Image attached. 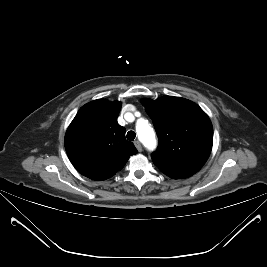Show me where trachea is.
<instances>
[{
  "label": "trachea",
  "instance_id": "1",
  "mask_svg": "<svg viewBox=\"0 0 267 267\" xmlns=\"http://www.w3.org/2000/svg\"><path fill=\"white\" fill-rule=\"evenodd\" d=\"M126 137L128 140L133 141L136 137V133L134 131H128Z\"/></svg>",
  "mask_w": 267,
  "mask_h": 267
}]
</instances>
